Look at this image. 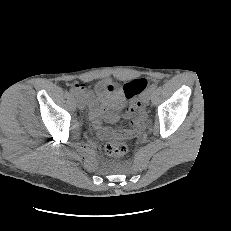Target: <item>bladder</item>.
<instances>
[{
  "instance_id": "bladder-1",
  "label": "bladder",
  "mask_w": 231,
  "mask_h": 231,
  "mask_svg": "<svg viewBox=\"0 0 231 231\" xmlns=\"http://www.w3.org/2000/svg\"><path fill=\"white\" fill-rule=\"evenodd\" d=\"M95 91L100 102L106 107L118 110L124 107L125 97L109 81L101 80L95 86Z\"/></svg>"
}]
</instances>
